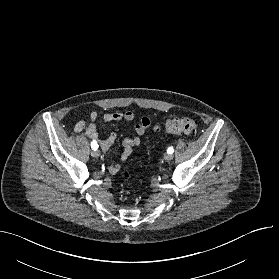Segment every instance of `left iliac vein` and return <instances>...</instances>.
I'll return each mask as SVG.
<instances>
[{
    "instance_id": "left-iliac-vein-1",
    "label": "left iliac vein",
    "mask_w": 279,
    "mask_h": 279,
    "mask_svg": "<svg viewBox=\"0 0 279 279\" xmlns=\"http://www.w3.org/2000/svg\"><path fill=\"white\" fill-rule=\"evenodd\" d=\"M164 159L167 160V161H171L173 159V155L170 154V153H166L164 155Z\"/></svg>"
}]
</instances>
